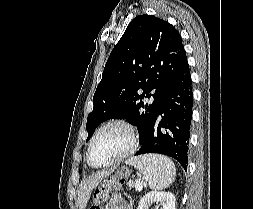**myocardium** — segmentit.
Returning <instances> with one entry per match:
<instances>
[{"instance_id": "1", "label": "myocardium", "mask_w": 253, "mask_h": 209, "mask_svg": "<svg viewBox=\"0 0 253 209\" xmlns=\"http://www.w3.org/2000/svg\"><path fill=\"white\" fill-rule=\"evenodd\" d=\"M111 126H121L123 128H125L128 133H129V138H130V143L129 146L121 153L119 154L117 157H115L114 159L103 163V164H94L92 159H91V150H92V146L93 143L95 141V139L97 138V136L106 128L111 127ZM138 146V132L136 127L134 126V124L132 122H130L127 119L124 118H115L112 120H109L107 122H105L103 125H101L96 132L94 133V135L92 136L89 144H88V148H87V162L88 164L93 167V168H104V167H108L110 165H113L115 163L121 162L122 160H124L125 158H127L129 155H131L137 148Z\"/></svg>"}]
</instances>
